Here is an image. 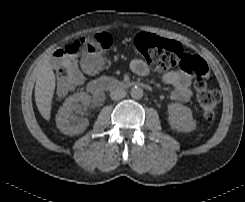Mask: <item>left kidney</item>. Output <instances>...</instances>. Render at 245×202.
Instances as JSON below:
<instances>
[{
	"instance_id": "left-kidney-1",
	"label": "left kidney",
	"mask_w": 245,
	"mask_h": 202,
	"mask_svg": "<svg viewBox=\"0 0 245 202\" xmlns=\"http://www.w3.org/2000/svg\"><path fill=\"white\" fill-rule=\"evenodd\" d=\"M168 121L172 129L179 132H191L196 126L190 108L172 103L168 105Z\"/></svg>"
}]
</instances>
